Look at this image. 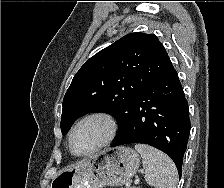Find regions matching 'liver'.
<instances>
[{
  "mask_svg": "<svg viewBox=\"0 0 224 188\" xmlns=\"http://www.w3.org/2000/svg\"><path fill=\"white\" fill-rule=\"evenodd\" d=\"M83 161H84V160H83ZM83 161H81V162H83ZM81 162L77 163L75 166H77V165L80 164ZM75 166H74V167H75Z\"/></svg>",
  "mask_w": 224,
  "mask_h": 188,
  "instance_id": "liver-1",
  "label": "liver"
}]
</instances>
